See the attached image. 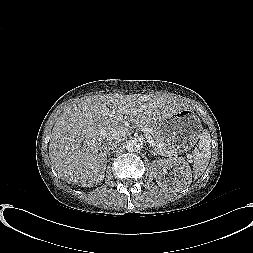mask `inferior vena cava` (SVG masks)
Wrapping results in <instances>:
<instances>
[{
    "instance_id": "obj_1",
    "label": "inferior vena cava",
    "mask_w": 253,
    "mask_h": 253,
    "mask_svg": "<svg viewBox=\"0 0 253 253\" xmlns=\"http://www.w3.org/2000/svg\"><path fill=\"white\" fill-rule=\"evenodd\" d=\"M114 142H109L110 146H116L121 141L119 138H113Z\"/></svg>"
}]
</instances>
